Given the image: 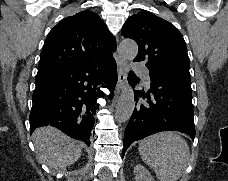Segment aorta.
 Returning a JSON list of instances; mask_svg holds the SVG:
<instances>
[{
  "mask_svg": "<svg viewBox=\"0 0 228 181\" xmlns=\"http://www.w3.org/2000/svg\"><path fill=\"white\" fill-rule=\"evenodd\" d=\"M119 51L126 60H133L138 54V46L133 40L124 39L119 45ZM134 107V91L131 87H126L117 103V122L123 123L128 121L133 113Z\"/></svg>",
  "mask_w": 228,
  "mask_h": 181,
  "instance_id": "aorta-1",
  "label": "aorta"
}]
</instances>
